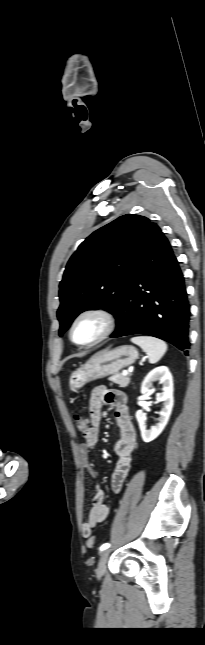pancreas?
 <instances>
[{
	"label": "pancreas",
	"instance_id": "obj_1",
	"mask_svg": "<svg viewBox=\"0 0 205 645\" xmlns=\"http://www.w3.org/2000/svg\"><path fill=\"white\" fill-rule=\"evenodd\" d=\"M109 380L118 384L120 387H127L130 382V377L124 376L122 373H117L109 377Z\"/></svg>",
	"mask_w": 205,
	"mask_h": 645
}]
</instances>
